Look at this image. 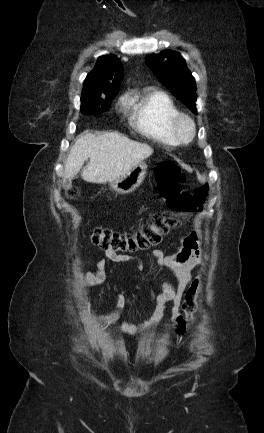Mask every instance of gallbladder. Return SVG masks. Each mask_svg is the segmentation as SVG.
Returning <instances> with one entry per match:
<instances>
[{
    "mask_svg": "<svg viewBox=\"0 0 264 433\" xmlns=\"http://www.w3.org/2000/svg\"><path fill=\"white\" fill-rule=\"evenodd\" d=\"M70 186H71V179H67V178L63 179L62 187L66 189L69 188Z\"/></svg>",
    "mask_w": 264,
    "mask_h": 433,
    "instance_id": "obj_1",
    "label": "gallbladder"
}]
</instances>
